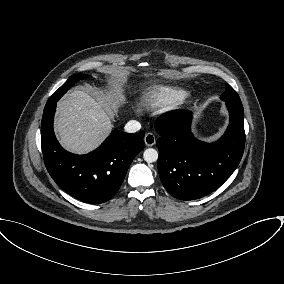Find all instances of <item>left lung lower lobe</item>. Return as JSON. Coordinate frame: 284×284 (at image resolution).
<instances>
[{
    "mask_svg": "<svg viewBox=\"0 0 284 284\" xmlns=\"http://www.w3.org/2000/svg\"><path fill=\"white\" fill-rule=\"evenodd\" d=\"M230 123L214 143L191 133V112H169L155 122L160 135L158 171L165 189L175 198L193 200L219 188L237 168L245 146L243 106L226 102Z\"/></svg>",
    "mask_w": 284,
    "mask_h": 284,
    "instance_id": "0a47b994",
    "label": "left lung lower lobe"
}]
</instances>
